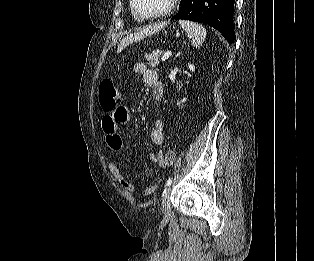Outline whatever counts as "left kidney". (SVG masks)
<instances>
[{
	"label": "left kidney",
	"instance_id": "1",
	"mask_svg": "<svg viewBox=\"0 0 314 261\" xmlns=\"http://www.w3.org/2000/svg\"><path fill=\"white\" fill-rule=\"evenodd\" d=\"M188 68L190 69V71H195V67H194V65H192V64H190V63H188ZM187 101V98H183L181 101H177V105L178 106H180V104L181 103H184V102H186Z\"/></svg>",
	"mask_w": 314,
	"mask_h": 261
}]
</instances>
